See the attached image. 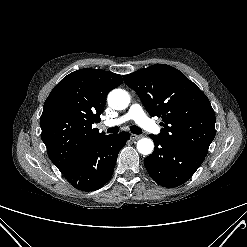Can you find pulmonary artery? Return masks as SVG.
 Masks as SVG:
<instances>
[{
  "instance_id": "pulmonary-artery-1",
  "label": "pulmonary artery",
  "mask_w": 247,
  "mask_h": 247,
  "mask_svg": "<svg viewBox=\"0 0 247 247\" xmlns=\"http://www.w3.org/2000/svg\"><path fill=\"white\" fill-rule=\"evenodd\" d=\"M129 120H134L142 128L152 133H159L160 131L159 127L147 117V115L144 113L142 107L139 104H133L125 115L117 119L106 120L104 122V125L111 127L123 124Z\"/></svg>"
}]
</instances>
